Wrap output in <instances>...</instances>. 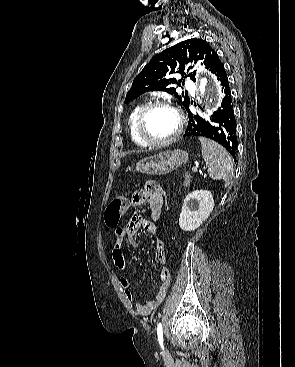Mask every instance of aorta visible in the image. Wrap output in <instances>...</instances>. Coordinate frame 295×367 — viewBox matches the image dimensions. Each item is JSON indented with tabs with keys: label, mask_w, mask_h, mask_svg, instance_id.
Listing matches in <instances>:
<instances>
[{
	"label": "aorta",
	"mask_w": 295,
	"mask_h": 367,
	"mask_svg": "<svg viewBox=\"0 0 295 367\" xmlns=\"http://www.w3.org/2000/svg\"><path fill=\"white\" fill-rule=\"evenodd\" d=\"M208 86V79L206 77L201 79L200 82V91L202 94H204L206 88ZM213 86V97H212V103L215 105L220 104L221 100H222V89L219 85V83L217 81H213L212 83Z\"/></svg>",
	"instance_id": "1"
}]
</instances>
